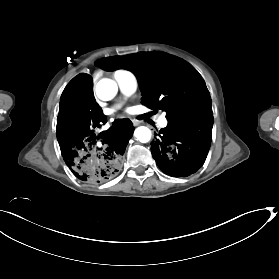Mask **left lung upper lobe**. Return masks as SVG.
<instances>
[{
    "mask_svg": "<svg viewBox=\"0 0 279 279\" xmlns=\"http://www.w3.org/2000/svg\"><path fill=\"white\" fill-rule=\"evenodd\" d=\"M95 65L106 71L133 72L142 91V103L153 112L164 110L168 123L213 118L205 82L182 59L162 52L137 53L103 58Z\"/></svg>",
    "mask_w": 279,
    "mask_h": 279,
    "instance_id": "obj_1",
    "label": "left lung upper lobe"
}]
</instances>
